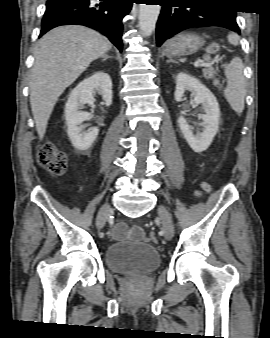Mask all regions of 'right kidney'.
Listing matches in <instances>:
<instances>
[{"instance_id":"1","label":"right kidney","mask_w":270,"mask_h":338,"mask_svg":"<svg viewBox=\"0 0 270 338\" xmlns=\"http://www.w3.org/2000/svg\"><path fill=\"white\" fill-rule=\"evenodd\" d=\"M102 95L106 106L112 103V81L105 72H97L80 82L70 93L65 105L67 134L75 148L87 150L98 136L99 130L84 131L79 125L92 117L91 113L80 111L84 104L92 105L94 95Z\"/></svg>"}]
</instances>
